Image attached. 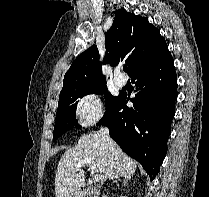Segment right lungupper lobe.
I'll return each instance as SVG.
<instances>
[{"mask_svg":"<svg viewBox=\"0 0 209 197\" xmlns=\"http://www.w3.org/2000/svg\"><path fill=\"white\" fill-rule=\"evenodd\" d=\"M104 60L112 66L124 61L133 75L137 70L161 57L167 44L147 18L119 9L113 24L105 34ZM105 82L97 46L93 45L72 63L63 80V89Z\"/></svg>","mask_w":209,"mask_h":197,"instance_id":"cb5924a9","label":"right lung upper lobe"}]
</instances>
